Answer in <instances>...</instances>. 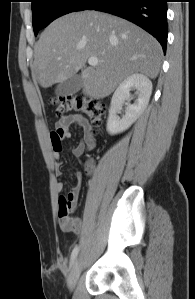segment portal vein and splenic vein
<instances>
[{
	"label": "portal vein and splenic vein",
	"instance_id": "obj_1",
	"mask_svg": "<svg viewBox=\"0 0 195 299\" xmlns=\"http://www.w3.org/2000/svg\"><path fill=\"white\" fill-rule=\"evenodd\" d=\"M88 64H89L90 66H92V67L97 66V65H98V58H96V57H90V58L88 59Z\"/></svg>",
	"mask_w": 195,
	"mask_h": 299
}]
</instances>
